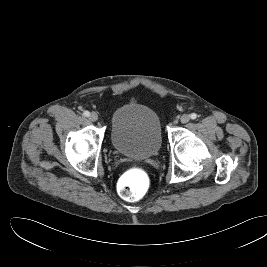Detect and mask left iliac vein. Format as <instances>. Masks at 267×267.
Instances as JSON below:
<instances>
[{
    "label": "left iliac vein",
    "mask_w": 267,
    "mask_h": 267,
    "mask_svg": "<svg viewBox=\"0 0 267 267\" xmlns=\"http://www.w3.org/2000/svg\"><path fill=\"white\" fill-rule=\"evenodd\" d=\"M189 120H190V116H189L188 114H184V115H182L181 118H180V121H181L182 123H188Z\"/></svg>",
    "instance_id": "1"
}]
</instances>
